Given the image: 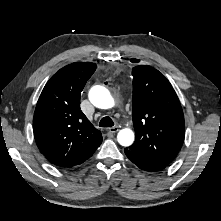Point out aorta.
Returning a JSON list of instances; mask_svg holds the SVG:
<instances>
[{
	"instance_id": "1",
	"label": "aorta",
	"mask_w": 221,
	"mask_h": 221,
	"mask_svg": "<svg viewBox=\"0 0 221 221\" xmlns=\"http://www.w3.org/2000/svg\"><path fill=\"white\" fill-rule=\"evenodd\" d=\"M91 103L100 109H110L115 105V101L110 92L103 86H94L89 92ZM117 140L122 146H130L134 141V132L129 128L119 131Z\"/></svg>"
}]
</instances>
